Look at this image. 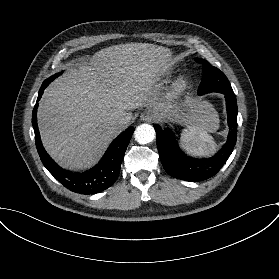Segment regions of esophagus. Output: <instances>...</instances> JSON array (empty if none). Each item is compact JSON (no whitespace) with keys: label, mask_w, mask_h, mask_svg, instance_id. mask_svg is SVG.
Returning a JSON list of instances; mask_svg holds the SVG:
<instances>
[{"label":"esophagus","mask_w":279,"mask_h":279,"mask_svg":"<svg viewBox=\"0 0 279 279\" xmlns=\"http://www.w3.org/2000/svg\"><path fill=\"white\" fill-rule=\"evenodd\" d=\"M156 118H157V113L153 110H145L140 115L141 121L152 122L156 120Z\"/></svg>","instance_id":"obj_1"}]
</instances>
